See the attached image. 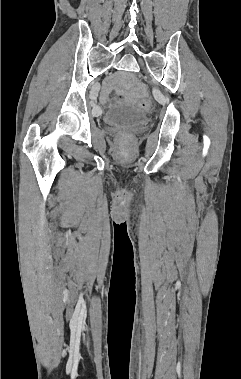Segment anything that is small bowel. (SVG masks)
I'll use <instances>...</instances> for the list:
<instances>
[{"mask_svg": "<svg viewBox=\"0 0 241 379\" xmlns=\"http://www.w3.org/2000/svg\"><path fill=\"white\" fill-rule=\"evenodd\" d=\"M113 87H114V84L112 81H107L103 85V88H102L100 95H99V100L102 104H106L108 102V97H109V94L112 91ZM125 98L128 102H135L137 99V97L135 95H126Z\"/></svg>", "mask_w": 241, "mask_h": 379, "instance_id": "small-bowel-1", "label": "small bowel"}]
</instances>
